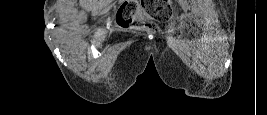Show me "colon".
Instances as JSON below:
<instances>
[{
  "mask_svg": "<svg viewBox=\"0 0 267 115\" xmlns=\"http://www.w3.org/2000/svg\"><path fill=\"white\" fill-rule=\"evenodd\" d=\"M142 7L156 22L164 23L172 17L170 0H130L124 2L118 9L116 20L120 26L137 27L155 31L156 24L147 22L140 16Z\"/></svg>",
  "mask_w": 267,
  "mask_h": 115,
  "instance_id": "1",
  "label": "colon"
}]
</instances>
